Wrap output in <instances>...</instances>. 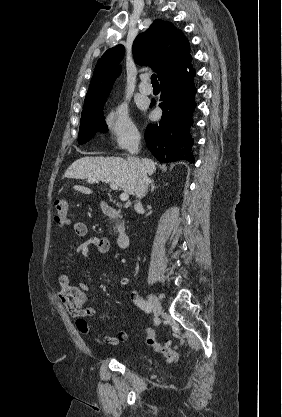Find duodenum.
I'll return each mask as SVG.
<instances>
[{
  "label": "duodenum",
  "instance_id": "duodenum-1",
  "mask_svg": "<svg viewBox=\"0 0 282 417\" xmlns=\"http://www.w3.org/2000/svg\"><path fill=\"white\" fill-rule=\"evenodd\" d=\"M102 209H103V213L107 217L112 218V219L120 218V212L116 208L109 206L108 204H103ZM129 240H130L129 233L125 229L120 228L117 233V241H118L119 248L122 250H126L128 248Z\"/></svg>",
  "mask_w": 282,
  "mask_h": 417
}]
</instances>
